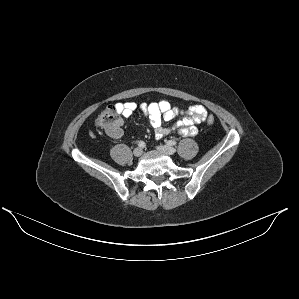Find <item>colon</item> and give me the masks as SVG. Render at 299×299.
Masks as SVG:
<instances>
[{
    "label": "colon",
    "mask_w": 299,
    "mask_h": 299,
    "mask_svg": "<svg viewBox=\"0 0 299 299\" xmlns=\"http://www.w3.org/2000/svg\"><path fill=\"white\" fill-rule=\"evenodd\" d=\"M206 122L209 125H213L215 119L209 114L206 116ZM95 123L99 130L109 134H115L120 130L121 119L116 109L114 107H109L98 115Z\"/></svg>",
    "instance_id": "5ec220e1"
}]
</instances>
